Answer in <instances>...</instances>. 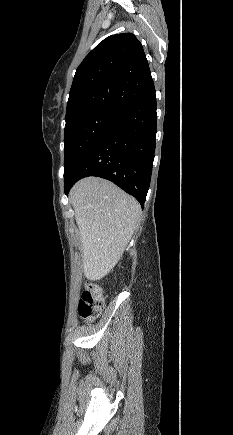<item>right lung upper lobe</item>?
<instances>
[{"mask_svg": "<svg viewBox=\"0 0 233 435\" xmlns=\"http://www.w3.org/2000/svg\"><path fill=\"white\" fill-rule=\"evenodd\" d=\"M152 85L140 41L131 33L109 36L77 68L65 120L98 108L123 111Z\"/></svg>", "mask_w": 233, "mask_h": 435, "instance_id": "cb5924a9", "label": "right lung upper lobe"}]
</instances>
